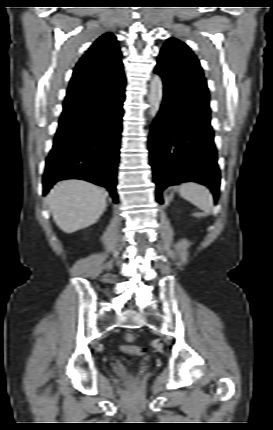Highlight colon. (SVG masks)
Segmentation results:
<instances>
[{
  "instance_id": "1",
  "label": "colon",
  "mask_w": 273,
  "mask_h": 430,
  "mask_svg": "<svg viewBox=\"0 0 273 430\" xmlns=\"http://www.w3.org/2000/svg\"><path fill=\"white\" fill-rule=\"evenodd\" d=\"M123 337H124V340L128 343H132L135 341V336L130 332L125 333ZM124 351L129 355H142L144 353V349L140 347H131Z\"/></svg>"
}]
</instances>
